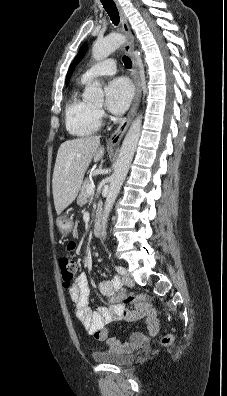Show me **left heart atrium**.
Instances as JSON below:
<instances>
[{
	"instance_id": "39dd6f15",
	"label": "left heart atrium",
	"mask_w": 227,
	"mask_h": 396,
	"mask_svg": "<svg viewBox=\"0 0 227 396\" xmlns=\"http://www.w3.org/2000/svg\"><path fill=\"white\" fill-rule=\"evenodd\" d=\"M132 97L133 88L126 78H115L106 88V106L112 113H123L130 105Z\"/></svg>"
}]
</instances>
